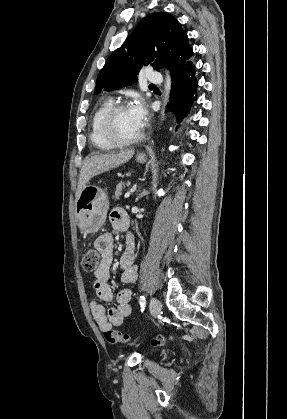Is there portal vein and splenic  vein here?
Instances as JSON below:
<instances>
[{
    "mask_svg": "<svg viewBox=\"0 0 287 419\" xmlns=\"http://www.w3.org/2000/svg\"><path fill=\"white\" fill-rule=\"evenodd\" d=\"M130 194H131V192H130V191H128V192H126V193H125L124 197H125V198H128V197L130 196Z\"/></svg>",
    "mask_w": 287,
    "mask_h": 419,
    "instance_id": "obj_1",
    "label": "portal vein and splenic vein"
}]
</instances>
